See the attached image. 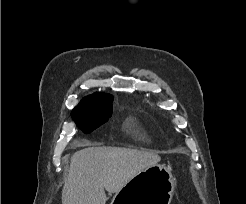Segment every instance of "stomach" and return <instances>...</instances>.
<instances>
[{"instance_id": "0dacf381", "label": "stomach", "mask_w": 246, "mask_h": 204, "mask_svg": "<svg viewBox=\"0 0 246 204\" xmlns=\"http://www.w3.org/2000/svg\"><path fill=\"white\" fill-rule=\"evenodd\" d=\"M175 179L162 165H154L135 175L118 191L111 204H170Z\"/></svg>"}]
</instances>
